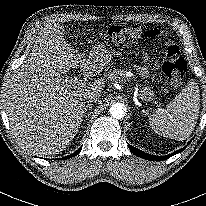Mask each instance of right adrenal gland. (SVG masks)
<instances>
[{
    "instance_id": "2a0ac1e0",
    "label": "right adrenal gland",
    "mask_w": 206,
    "mask_h": 206,
    "mask_svg": "<svg viewBox=\"0 0 206 206\" xmlns=\"http://www.w3.org/2000/svg\"><path fill=\"white\" fill-rule=\"evenodd\" d=\"M91 110H92V102H88V104L84 109V117H86V119L87 117H89Z\"/></svg>"
}]
</instances>
